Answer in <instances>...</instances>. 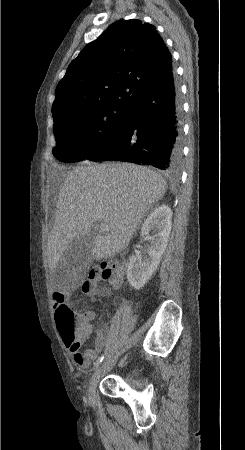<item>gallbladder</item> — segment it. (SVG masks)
I'll return each mask as SVG.
<instances>
[{
	"instance_id": "gallbladder-1",
	"label": "gallbladder",
	"mask_w": 245,
	"mask_h": 450,
	"mask_svg": "<svg viewBox=\"0 0 245 450\" xmlns=\"http://www.w3.org/2000/svg\"><path fill=\"white\" fill-rule=\"evenodd\" d=\"M92 247L93 240L91 236H77L64 252L55 269V275L76 273L83 278L93 261Z\"/></svg>"
}]
</instances>
